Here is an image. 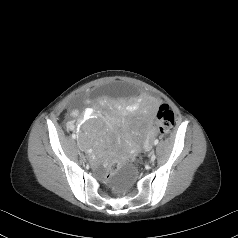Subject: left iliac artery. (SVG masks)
<instances>
[{
  "instance_id": "44dca946",
  "label": "left iliac artery",
  "mask_w": 238,
  "mask_h": 238,
  "mask_svg": "<svg viewBox=\"0 0 238 238\" xmlns=\"http://www.w3.org/2000/svg\"><path fill=\"white\" fill-rule=\"evenodd\" d=\"M158 142H159V140H158V139H156V140L154 141V145H157V144H158Z\"/></svg>"
}]
</instances>
